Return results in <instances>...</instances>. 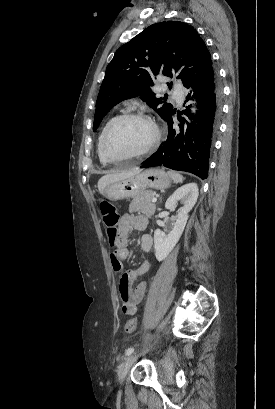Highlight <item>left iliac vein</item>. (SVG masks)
Returning a JSON list of instances; mask_svg holds the SVG:
<instances>
[{"label": "left iliac vein", "instance_id": "left-iliac-vein-1", "mask_svg": "<svg viewBox=\"0 0 275 409\" xmlns=\"http://www.w3.org/2000/svg\"><path fill=\"white\" fill-rule=\"evenodd\" d=\"M138 356L136 354H131L130 356H128L125 360V362L123 363V365L120 367L119 371H118V380L119 383H122L126 377V375L128 374L131 366L134 364V362L137 360Z\"/></svg>", "mask_w": 275, "mask_h": 409}]
</instances>
